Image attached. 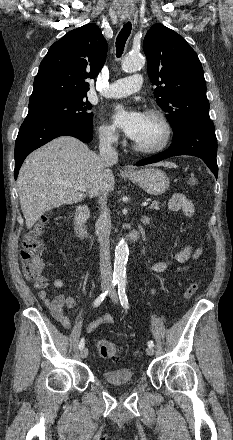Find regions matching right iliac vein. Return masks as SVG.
I'll return each mask as SVG.
<instances>
[{"label": "right iliac vein", "mask_w": 233, "mask_h": 440, "mask_svg": "<svg viewBox=\"0 0 233 440\" xmlns=\"http://www.w3.org/2000/svg\"><path fill=\"white\" fill-rule=\"evenodd\" d=\"M107 289V285H103L102 286V290H106ZM81 357L84 359L88 356V349L87 348H83L80 352Z\"/></svg>", "instance_id": "obj_1"}]
</instances>
